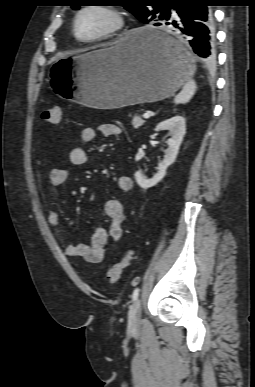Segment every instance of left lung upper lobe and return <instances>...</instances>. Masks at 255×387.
I'll return each instance as SVG.
<instances>
[{
  "instance_id": "5c2ea615",
  "label": "left lung upper lobe",
  "mask_w": 255,
  "mask_h": 387,
  "mask_svg": "<svg viewBox=\"0 0 255 387\" xmlns=\"http://www.w3.org/2000/svg\"><path fill=\"white\" fill-rule=\"evenodd\" d=\"M76 2L85 3L87 0H75ZM122 5L133 13L144 24H151L159 21L160 16L166 14L169 5L176 0H111ZM150 5V6H147ZM73 9H78L79 5H73Z\"/></svg>"
}]
</instances>
